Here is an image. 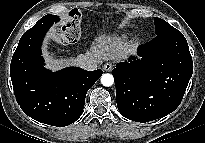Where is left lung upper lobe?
Segmentation results:
<instances>
[{"label": "left lung upper lobe", "mask_w": 205, "mask_h": 143, "mask_svg": "<svg viewBox=\"0 0 205 143\" xmlns=\"http://www.w3.org/2000/svg\"><path fill=\"white\" fill-rule=\"evenodd\" d=\"M155 21V33L156 35L164 34L172 31H176L174 27H172L169 23L161 18H154Z\"/></svg>", "instance_id": "1"}]
</instances>
